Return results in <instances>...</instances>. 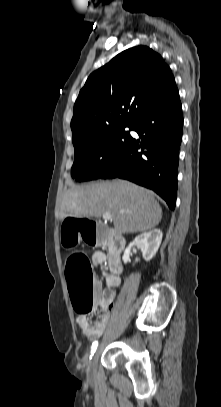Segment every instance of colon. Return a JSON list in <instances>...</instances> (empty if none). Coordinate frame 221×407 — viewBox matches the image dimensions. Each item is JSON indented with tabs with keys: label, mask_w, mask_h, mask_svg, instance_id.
Returning a JSON list of instances; mask_svg holds the SVG:
<instances>
[{
	"label": "colon",
	"mask_w": 221,
	"mask_h": 407,
	"mask_svg": "<svg viewBox=\"0 0 221 407\" xmlns=\"http://www.w3.org/2000/svg\"><path fill=\"white\" fill-rule=\"evenodd\" d=\"M65 225L59 232L66 246H73L76 239H86V246L102 249L110 237L107 222H97L93 216H66ZM65 276L74 310L81 315L89 314L96 304L95 281L88 258L74 253L67 261Z\"/></svg>",
	"instance_id": "1"
}]
</instances>
